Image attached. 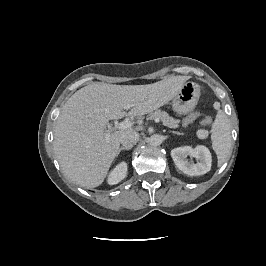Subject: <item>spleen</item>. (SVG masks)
I'll list each match as a JSON object with an SVG mask.
<instances>
[{
    "label": "spleen",
    "mask_w": 266,
    "mask_h": 266,
    "mask_svg": "<svg viewBox=\"0 0 266 266\" xmlns=\"http://www.w3.org/2000/svg\"><path fill=\"white\" fill-rule=\"evenodd\" d=\"M212 148L221 166L231 150V129L227 115L219 110L211 127Z\"/></svg>",
    "instance_id": "3e777b00"
}]
</instances>
